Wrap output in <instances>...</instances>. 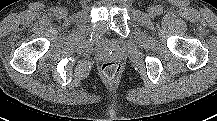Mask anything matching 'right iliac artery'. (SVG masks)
I'll return each mask as SVG.
<instances>
[{
	"label": "right iliac artery",
	"instance_id": "1",
	"mask_svg": "<svg viewBox=\"0 0 217 121\" xmlns=\"http://www.w3.org/2000/svg\"><path fill=\"white\" fill-rule=\"evenodd\" d=\"M53 12H54V14H59L60 8H54Z\"/></svg>",
	"mask_w": 217,
	"mask_h": 121
}]
</instances>
